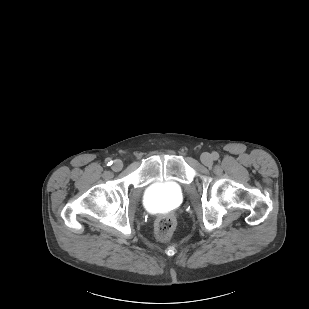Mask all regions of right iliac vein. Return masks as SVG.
<instances>
[{"mask_svg":"<svg viewBox=\"0 0 309 309\" xmlns=\"http://www.w3.org/2000/svg\"><path fill=\"white\" fill-rule=\"evenodd\" d=\"M123 168V163L121 160L116 159L114 160L113 164H112V169L114 171H120Z\"/></svg>","mask_w":309,"mask_h":309,"instance_id":"63e3f726","label":"right iliac vein"}]
</instances>
